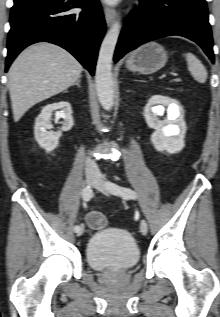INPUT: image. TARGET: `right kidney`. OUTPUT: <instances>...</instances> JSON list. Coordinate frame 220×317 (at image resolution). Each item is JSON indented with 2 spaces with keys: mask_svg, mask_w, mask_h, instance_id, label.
Returning a JSON list of instances; mask_svg holds the SVG:
<instances>
[{
  "mask_svg": "<svg viewBox=\"0 0 220 317\" xmlns=\"http://www.w3.org/2000/svg\"><path fill=\"white\" fill-rule=\"evenodd\" d=\"M56 119L63 118L61 131H48L52 128V115ZM74 125L71 105L66 101L48 104L43 107L35 120L34 135L37 143L47 152L54 150L59 143L62 131H69Z\"/></svg>",
  "mask_w": 220,
  "mask_h": 317,
  "instance_id": "right-kidney-1",
  "label": "right kidney"
}]
</instances>
